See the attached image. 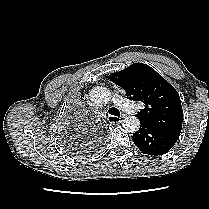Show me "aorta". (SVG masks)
<instances>
[{
    "label": "aorta",
    "mask_w": 209,
    "mask_h": 209,
    "mask_svg": "<svg viewBox=\"0 0 209 209\" xmlns=\"http://www.w3.org/2000/svg\"><path fill=\"white\" fill-rule=\"evenodd\" d=\"M91 102L97 105L107 104L111 99V92L106 87H94L89 91ZM123 128L128 132H136L140 128V120L135 116H128L123 120Z\"/></svg>",
    "instance_id": "aorta-1"
}]
</instances>
